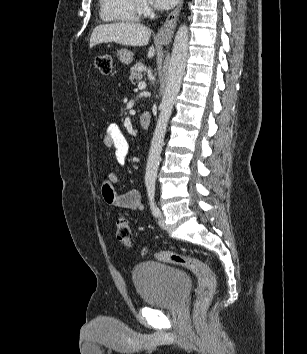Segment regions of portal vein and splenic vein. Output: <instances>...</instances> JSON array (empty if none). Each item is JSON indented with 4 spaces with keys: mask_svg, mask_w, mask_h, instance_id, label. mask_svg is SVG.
<instances>
[{
    "mask_svg": "<svg viewBox=\"0 0 307 354\" xmlns=\"http://www.w3.org/2000/svg\"><path fill=\"white\" fill-rule=\"evenodd\" d=\"M145 87H146V83H145V82H140V83L138 84V88H139L140 90L145 89Z\"/></svg>",
    "mask_w": 307,
    "mask_h": 354,
    "instance_id": "obj_1",
    "label": "portal vein and splenic vein"
}]
</instances>
